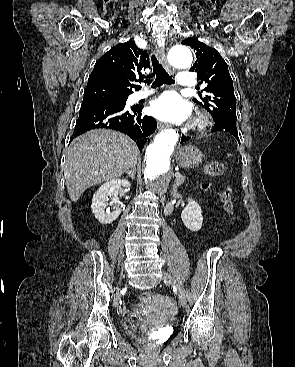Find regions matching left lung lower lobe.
<instances>
[{"instance_id":"left-lung-lower-lobe-1","label":"left lung lower lobe","mask_w":295,"mask_h":367,"mask_svg":"<svg viewBox=\"0 0 295 367\" xmlns=\"http://www.w3.org/2000/svg\"><path fill=\"white\" fill-rule=\"evenodd\" d=\"M211 131L212 132L221 131V132L230 133L237 139L238 142H240L239 137H238L237 127H236V122L233 120H223V121L215 122L214 127ZM188 139L189 137L182 135L181 142H184Z\"/></svg>"}]
</instances>
